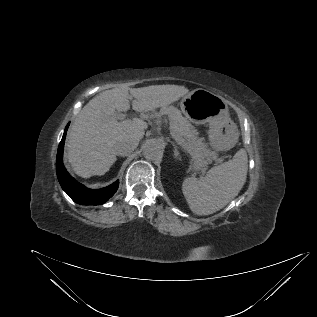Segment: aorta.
Masks as SVG:
<instances>
[{"label": "aorta", "mask_w": 317, "mask_h": 317, "mask_svg": "<svg viewBox=\"0 0 317 317\" xmlns=\"http://www.w3.org/2000/svg\"><path fill=\"white\" fill-rule=\"evenodd\" d=\"M143 155L148 160H157L162 156L161 146L158 142L150 140L144 144Z\"/></svg>", "instance_id": "aorta-1"}]
</instances>
